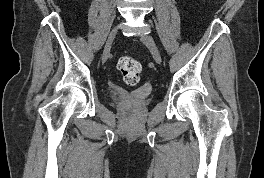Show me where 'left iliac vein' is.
Here are the masks:
<instances>
[{
    "mask_svg": "<svg viewBox=\"0 0 264 178\" xmlns=\"http://www.w3.org/2000/svg\"><path fill=\"white\" fill-rule=\"evenodd\" d=\"M140 40L148 47L156 63L160 64L162 62L160 51L150 35H142Z\"/></svg>",
    "mask_w": 264,
    "mask_h": 178,
    "instance_id": "4c4485c4",
    "label": "left iliac vein"
}]
</instances>
